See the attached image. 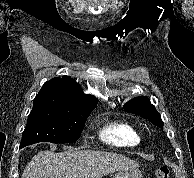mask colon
<instances>
[{"label": "colon", "instance_id": "colon-1", "mask_svg": "<svg viewBox=\"0 0 194 178\" xmlns=\"http://www.w3.org/2000/svg\"><path fill=\"white\" fill-rule=\"evenodd\" d=\"M156 178H169V168L167 166H161L155 170Z\"/></svg>", "mask_w": 194, "mask_h": 178}]
</instances>
